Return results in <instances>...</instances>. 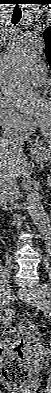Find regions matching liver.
<instances>
[{
	"label": "liver",
	"instance_id": "liver-1",
	"mask_svg": "<svg viewBox=\"0 0 51 393\" xmlns=\"http://www.w3.org/2000/svg\"><path fill=\"white\" fill-rule=\"evenodd\" d=\"M27 172V158L23 153H16L12 148L7 147L0 138V177L7 175L21 177Z\"/></svg>",
	"mask_w": 51,
	"mask_h": 393
}]
</instances>
